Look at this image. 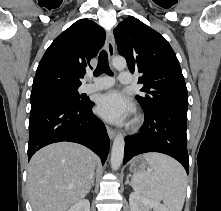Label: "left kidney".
<instances>
[{
  "label": "left kidney",
  "mask_w": 221,
  "mask_h": 211,
  "mask_svg": "<svg viewBox=\"0 0 221 211\" xmlns=\"http://www.w3.org/2000/svg\"><path fill=\"white\" fill-rule=\"evenodd\" d=\"M129 204L131 211H169L168 208L159 201L146 198L137 192L130 194Z\"/></svg>",
  "instance_id": "1"
}]
</instances>
